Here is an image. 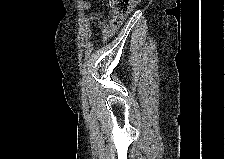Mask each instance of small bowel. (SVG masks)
<instances>
[{
	"mask_svg": "<svg viewBox=\"0 0 225 159\" xmlns=\"http://www.w3.org/2000/svg\"><path fill=\"white\" fill-rule=\"evenodd\" d=\"M81 9L89 13L82 18L80 26L81 39L87 42L92 36V25L97 23L103 32V40L109 38L112 34V29L105 23L99 12L93 11L91 4L87 1L81 3Z\"/></svg>",
	"mask_w": 225,
	"mask_h": 159,
	"instance_id": "small-bowel-1",
	"label": "small bowel"
}]
</instances>
